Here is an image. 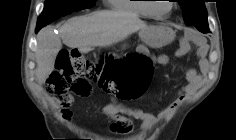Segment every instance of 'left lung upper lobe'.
<instances>
[{
    "label": "left lung upper lobe",
    "instance_id": "5c2ea615",
    "mask_svg": "<svg viewBox=\"0 0 236 140\" xmlns=\"http://www.w3.org/2000/svg\"><path fill=\"white\" fill-rule=\"evenodd\" d=\"M177 2L183 10L186 25L195 26L203 33L210 32L204 0H177Z\"/></svg>",
    "mask_w": 236,
    "mask_h": 140
}]
</instances>
